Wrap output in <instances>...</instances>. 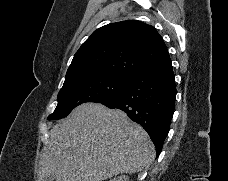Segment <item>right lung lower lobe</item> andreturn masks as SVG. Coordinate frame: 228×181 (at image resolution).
<instances>
[{"label":"right lung lower lobe","instance_id":"right-lung-lower-lobe-1","mask_svg":"<svg viewBox=\"0 0 228 181\" xmlns=\"http://www.w3.org/2000/svg\"><path fill=\"white\" fill-rule=\"evenodd\" d=\"M176 97L170 57L135 74L113 99L102 102L118 108L149 134L159 156L170 129Z\"/></svg>","mask_w":228,"mask_h":181}]
</instances>
